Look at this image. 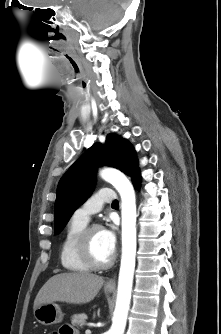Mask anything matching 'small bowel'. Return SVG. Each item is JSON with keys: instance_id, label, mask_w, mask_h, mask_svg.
I'll return each instance as SVG.
<instances>
[{"instance_id": "obj_1", "label": "small bowel", "mask_w": 221, "mask_h": 334, "mask_svg": "<svg viewBox=\"0 0 221 334\" xmlns=\"http://www.w3.org/2000/svg\"><path fill=\"white\" fill-rule=\"evenodd\" d=\"M58 334H75V332L71 328L63 327Z\"/></svg>"}]
</instances>
